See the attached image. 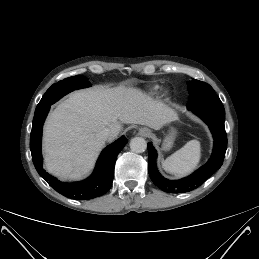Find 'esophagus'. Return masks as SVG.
Returning a JSON list of instances; mask_svg holds the SVG:
<instances>
[{"instance_id":"1","label":"esophagus","mask_w":259,"mask_h":259,"mask_svg":"<svg viewBox=\"0 0 259 259\" xmlns=\"http://www.w3.org/2000/svg\"><path fill=\"white\" fill-rule=\"evenodd\" d=\"M150 133H151V131H150L148 128H141V129L139 130V134H140L141 136H144V137L149 136Z\"/></svg>"}]
</instances>
